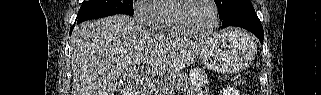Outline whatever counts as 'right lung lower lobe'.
<instances>
[{
    "label": "right lung lower lobe",
    "instance_id": "obj_1",
    "mask_svg": "<svg viewBox=\"0 0 321 95\" xmlns=\"http://www.w3.org/2000/svg\"><path fill=\"white\" fill-rule=\"evenodd\" d=\"M73 27H74V26H73ZM73 27H71V31H72ZM71 31H70V32H71Z\"/></svg>",
    "mask_w": 321,
    "mask_h": 95
}]
</instances>
